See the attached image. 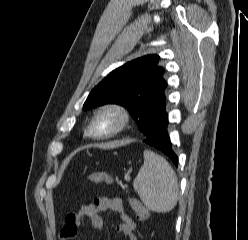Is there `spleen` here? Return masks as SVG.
<instances>
[{"label":"spleen","mask_w":248,"mask_h":240,"mask_svg":"<svg viewBox=\"0 0 248 240\" xmlns=\"http://www.w3.org/2000/svg\"><path fill=\"white\" fill-rule=\"evenodd\" d=\"M144 164L133 186L144 205L151 211L166 213L177 204L179 185L175 171L162 156L145 150Z\"/></svg>","instance_id":"1"}]
</instances>
